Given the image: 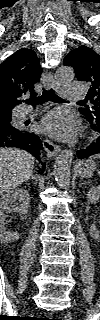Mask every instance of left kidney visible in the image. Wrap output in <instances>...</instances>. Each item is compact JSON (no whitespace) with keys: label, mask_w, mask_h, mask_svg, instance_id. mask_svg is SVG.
Segmentation results:
<instances>
[{"label":"left kidney","mask_w":100,"mask_h":320,"mask_svg":"<svg viewBox=\"0 0 100 320\" xmlns=\"http://www.w3.org/2000/svg\"><path fill=\"white\" fill-rule=\"evenodd\" d=\"M99 198H100V187H98V186L92 187L89 190V192L87 193V201H88V203H95L96 201L99 200ZM90 235L94 239H99L100 238V231L96 227L95 224L91 225V227H90Z\"/></svg>","instance_id":"5707ae66"}]
</instances>
